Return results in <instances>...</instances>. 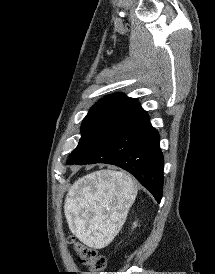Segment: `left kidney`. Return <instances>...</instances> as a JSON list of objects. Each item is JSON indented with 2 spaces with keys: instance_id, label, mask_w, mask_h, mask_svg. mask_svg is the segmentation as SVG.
Masks as SVG:
<instances>
[{
  "instance_id": "5707ae66",
  "label": "left kidney",
  "mask_w": 215,
  "mask_h": 274,
  "mask_svg": "<svg viewBox=\"0 0 215 274\" xmlns=\"http://www.w3.org/2000/svg\"><path fill=\"white\" fill-rule=\"evenodd\" d=\"M137 226V224L136 223H134V226L133 227H136Z\"/></svg>"
}]
</instances>
